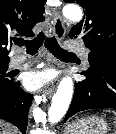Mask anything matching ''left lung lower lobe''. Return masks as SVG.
Segmentation results:
<instances>
[{"label": "left lung lower lobe", "mask_w": 116, "mask_h": 134, "mask_svg": "<svg viewBox=\"0 0 116 134\" xmlns=\"http://www.w3.org/2000/svg\"><path fill=\"white\" fill-rule=\"evenodd\" d=\"M80 74L86 79L75 85L73 100L64 122L84 110L116 109V62H94L92 68Z\"/></svg>", "instance_id": "1"}]
</instances>
